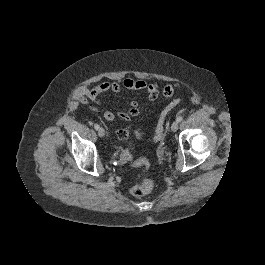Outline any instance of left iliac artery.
Masks as SVG:
<instances>
[{
  "label": "left iliac artery",
  "instance_id": "obj_1",
  "mask_svg": "<svg viewBox=\"0 0 265 265\" xmlns=\"http://www.w3.org/2000/svg\"><path fill=\"white\" fill-rule=\"evenodd\" d=\"M182 120H183V117H182V116H179V117H177V119H176L177 122H181Z\"/></svg>",
  "mask_w": 265,
  "mask_h": 265
}]
</instances>
